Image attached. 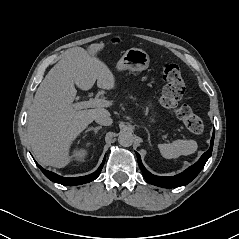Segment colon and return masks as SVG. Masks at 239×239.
<instances>
[{"label":"colon","mask_w":239,"mask_h":239,"mask_svg":"<svg viewBox=\"0 0 239 239\" xmlns=\"http://www.w3.org/2000/svg\"><path fill=\"white\" fill-rule=\"evenodd\" d=\"M162 74L165 81L160 99L162 106L171 110L182 120L190 132L194 134L202 133L204 130L202 118L194 113L189 106L180 104L186 87L179 66L174 62H166Z\"/></svg>","instance_id":"obj_1"}]
</instances>
